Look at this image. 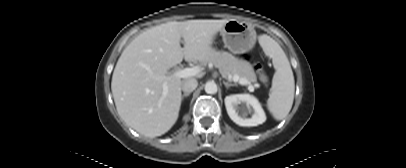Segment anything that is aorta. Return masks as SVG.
Instances as JSON below:
<instances>
[{"mask_svg":"<svg viewBox=\"0 0 406 168\" xmlns=\"http://www.w3.org/2000/svg\"><path fill=\"white\" fill-rule=\"evenodd\" d=\"M217 85L214 81H208L205 84V92L208 94H215L217 93Z\"/></svg>","mask_w":406,"mask_h":168,"instance_id":"1","label":"aorta"}]
</instances>
